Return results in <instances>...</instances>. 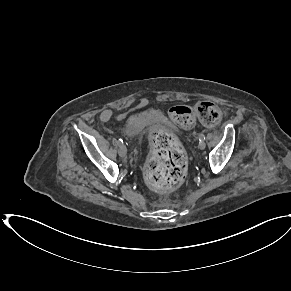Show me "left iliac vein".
I'll return each mask as SVG.
<instances>
[{
  "mask_svg": "<svg viewBox=\"0 0 291 291\" xmlns=\"http://www.w3.org/2000/svg\"><path fill=\"white\" fill-rule=\"evenodd\" d=\"M199 149L204 150L206 147V143L204 141H200L198 144Z\"/></svg>",
  "mask_w": 291,
  "mask_h": 291,
  "instance_id": "1",
  "label": "left iliac vein"
}]
</instances>
